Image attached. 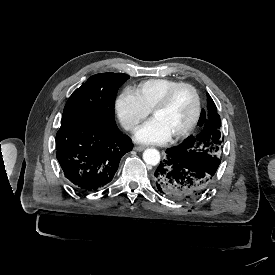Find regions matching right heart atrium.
Instances as JSON below:
<instances>
[{"mask_svg":"<svg viewBox=\"0 0 275 275\" xmlns=\"http://www.w3.org/2000/svg\"><path fill=\"white\" fill-rule=\"evenodd\" d=\"M118 117L127 131L136 130L148 117L150 111L133 90H124L116 101Z\"/></svg>","mask_w":275,"mask_h":275,"instance_id":"right-heart-atrium-1","label":"right heart atrium"}]
</instances>
